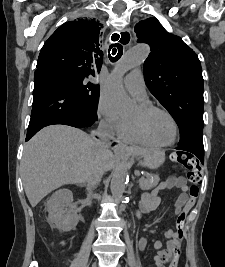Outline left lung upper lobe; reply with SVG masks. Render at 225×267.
<instances>
[{"label":"left lung upper lobe","instance_id":"obj_1","mask_svg":"<svg viewBox=\"0 0 225 267\" xmlns=\"http://www.w3.org/2000/svg\"><path fill=\"white\" fill-rule=\"evenodd\" d=\"M135 32L138 42L151 48L144 62L146 85L178 124V145L203 139V77L198 56L154 17L137 23Z\"/></svg>","mask_w":225,"mask_h":267}]
</instances>
